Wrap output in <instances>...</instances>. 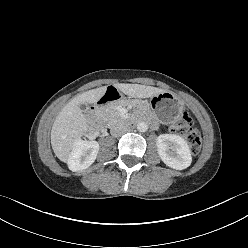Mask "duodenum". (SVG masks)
<instances>
[{
	"mask_svg": "<svg viewBox=\"0 0 248 248\" xmlns=\"http://www.w3.org/2000/svg\"><path fill=\"white\" fill-rule=\"evenodd\" d=\"M119 98L120 94L114 86H109L106 89V93L101 97L91 114V123L95 129L101 130L103 128L102 109ZM125 122L127 125H132L134 123V119L127 118Z\"/></svg>",
	"mask_w": 248,
	"mask_h": 248,
	"instance_id": "410a0bca",
	"label": "duodenum"
}]
</instances>
